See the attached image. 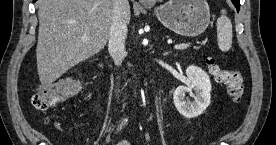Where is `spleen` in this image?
I'll use <instances>...</instances> for the list:
<instances>
[{
	"label": "spleen",
	"mask_w": 276,
	"mask_h": 145,
	"mask_svg": "<svg viewBox=\"0 0 276 145\" xmlns=\"http://www.w3.org/2000/svg\"><path fill=\"white\" fill-rule=\"evenodd\" d=\"M217 41L223 52L230 50L232 45V23L226 16V10H221V17L217 20Z\"/></svg>",
	"instance_id": "spleen-1"
}]
</instances>
